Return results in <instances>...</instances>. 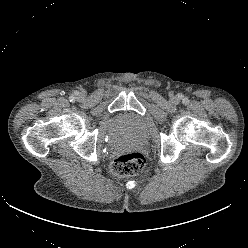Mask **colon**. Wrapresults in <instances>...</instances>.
Returning <instances> with one entry per match:
<instances>
[{
	"mask_svg": "<svg viewBox=\"0 0 248 248\" xmlns=\"http://www.w3.org/2000/svg\"><path fill=\"white\" fill-rule=\"evenodd\" d=\"M145 157L139 152L119 155L111 164V171L117 176H131L140 173L145 166Z\"/></svg>",
	"mask_w": 248,
	"mask_h": 248,
	"instance_id": "obj_1",
	"label": "colon"
}]
</instances>
